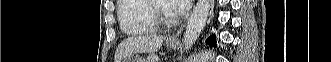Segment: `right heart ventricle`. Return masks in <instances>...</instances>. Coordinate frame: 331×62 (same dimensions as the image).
<instances>
[{
	"mask_svg": "<svg viewBox=\"0 0 331 62\" xmlns=\"http://www.w3.org/2000/svg\"><path fill=\"white\" fill-rule=\"evenodd\" d=\"M117 16L121 31L127 35H142L156 30L146 0L118 1Z\"/></svg>",
	"mask_w": 331,
	"mask_h": 62,
	"instance_id": "e07e8e85",
	"label": "right heart ventricle"
}]
</instances>
